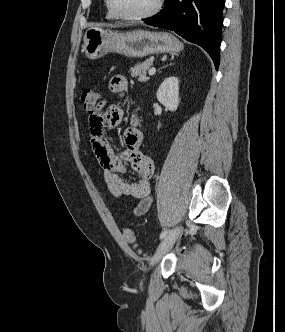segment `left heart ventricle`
<instances>
[{
    "instance_id": "obj_1",
    "label": "left heart ventricle",
    "mask_w": 285,
    "mask_h": 332,
    "mask_svg": "<svg viewBox=\"0 0 285 332\" xmlns=\"http://www.w3.org/2000/svg\"><path fill=\"white\" fill-rule=\"evenodd\" d=\"M156 0H112L116 11L122 15L133 16L148 12Z\"/></svg>"
}]
</instances>
